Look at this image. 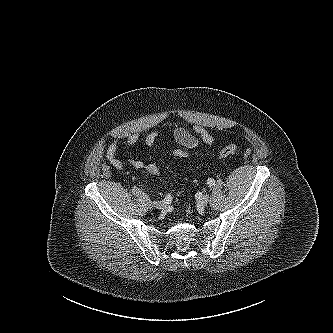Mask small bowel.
Wrapping results in <instances>:
<instances>
[{"label":"small bowel","mask_w":333,"mask_h":333,"mask_svg":"<svg viewBox=\"0 0 333 333\" xmlns=\"http://www.w3.org/2000/svg\"><path fill=\"white\" fill-rule=\"evenodd\" d=\"M194 133L207 145L212 146L214 144V138L209 132L201 125H194L192 127ZM157 131L151 130L146 138L145 143L149 150H152L155 146ZM173 138L180 145L189 148L195 149L198 146V138L193 135L190 131L185 128L178 127L173 131ZM138 134H130L125 140L121 141L118 138H114L106 151V158L110 162V164L116 169L121 170L123 168V161L118 157V152L120 149H126L133 145H135L138 141ZM126 163L135 168V169H145L146 165L141 160L136 159H126Z\"/></svg>","instance_id":"small-bowel-1"}]
</instances>
